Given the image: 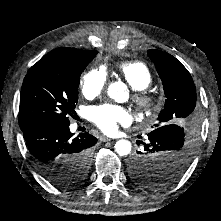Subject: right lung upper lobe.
<instances>
[{
	"label": "right lung upper lobe",
	"instance_id": "obj_1",
	"mask_svg": "<svg viewBox=\"0 0 221 221\" xmlns=\"http://www.w3.org/2000/svg\"><path fill=\"white\" fill-rule=\"evenodd\" d=\"M95 51H84L75 48L61 47L50 51L43 58H41L35 65L58 61H74L84 59Z\"/></svg>",
	"mask_w": 221,
	"mask_h": 221
}]
</instances>
